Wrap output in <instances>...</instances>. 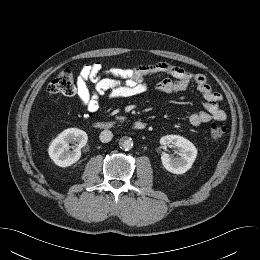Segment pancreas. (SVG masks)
<instances>
[{"instance_id": "1", "label": "pancreas", "mask_w": 260, "mask_h": 260, "mask_svg": "<svg viewBox=\"0 0 260 260\" xmlns=\"http://www.w3.org/2000/svg\"><path fill=\"white\" fill-rule=\"evenodd\" d=\"M116 119L119 120L120 122L126 120V117L123 116H116Z\"/></svg>"}]
</instances>
